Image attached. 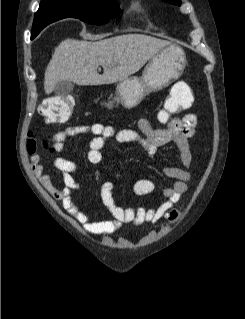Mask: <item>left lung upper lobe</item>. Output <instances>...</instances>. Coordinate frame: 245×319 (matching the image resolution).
I'll return each mask as SVG.
<instances>
[{
    "label": "left lung upper lobe",
    "mask_w": 245,
    "mask_h": 319,
    "mask_svg": "<svg viewBox=\"0 0 245 319\" xmlns=\"http://www.w3.org/2000/svg\"><path fill=\"white\" fill-rule=\"evenodd\" d=\"M163 1L168 2V3H172V4H176V5H180L181 4L180 0H163Z\"/></svg>",
    "instance_id": "1"
}]
</instances>
